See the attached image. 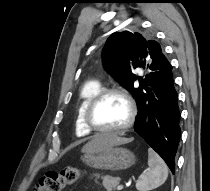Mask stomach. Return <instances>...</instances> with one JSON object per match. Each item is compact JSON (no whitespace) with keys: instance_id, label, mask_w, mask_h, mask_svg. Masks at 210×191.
I'll return each mask as SVG.
<instances>
[{"instance_id":"stomach-1","label":"stomach","mask_w":210,"mask_h":191,"mask_svg":"<svg viewBox=\"0 0 210 191\" xmlns=\"http://www.w3.org/2000/svg\"><path fill=\"white\" fill-rule=\"evenodd\" d=\"M81 160L94 169L119 171L133 166L136 156L130 150L115 145L84 152Z\"/></svg>"}]
</instances>
